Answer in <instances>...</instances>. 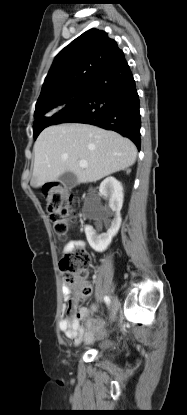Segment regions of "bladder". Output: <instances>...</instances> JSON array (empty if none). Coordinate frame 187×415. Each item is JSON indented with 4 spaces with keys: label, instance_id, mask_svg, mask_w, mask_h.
Returning <instances> with one entry per match:
<instances>
[{
    "label": "bladder",
    "instance_id": "1",
    "mask_svg": "<svg viewBox=\"0 0 187 415\" xmlns=\"http://www.w3.org/2000/svg\"><path fill=\"white\" fill-rule=\"evenodd\" d=\"M105 355H106V357L110 358L112 356V353L107 351V352H105Z\"/></svg>",
    "mask_w": 187,
    "mask_h": 415
}]
</instances>
